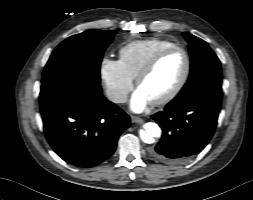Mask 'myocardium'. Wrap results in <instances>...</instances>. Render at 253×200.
Masks as SVG:
<instances>
[{
    "instance_id": "obj_1",
    "label": "myocardium",
    "mask_w": 253,
    "mask_h": 200,
    "mask_svg": "<svg viewBox=\"0 0 253 200\" xmlns=\"http://www.w3.org/2000/svg\"><path fill=\"white\" fill-rule=\"evenodd\" d=\"M173 52H181L184 55L186 61L184 74L176 87L168 95H166L162 99L152 102L154 106H163L170 103L181 93V91L185 87L191 73V58L189 53L184 48L179 46H174L162 50L157 53L146 65H144L135 77V84L136 87H138L141 81L153 72V70L162 61V59Z\"/></svg>"
}]
</instances>
